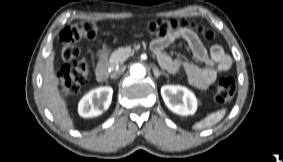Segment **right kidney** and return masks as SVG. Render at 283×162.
<instances>
[{
    "label": "right kidney",
    "mask_w": 283,
    "mask_h": 162,
    "mask_svg": "<svg viewBox=\"0 0 283 162\" xmlns=\"http://www.w3.org/2000/svg\"><path fill=\"white\" fill-rule=\"evenodd\" d=\"M113 89L110 86L91 90L82 97L78 104V113L81 117L90 118L101 115L112 101Z\"/></svg>",
    "instance_id": "right-kidney-1"
}]
</instances>
